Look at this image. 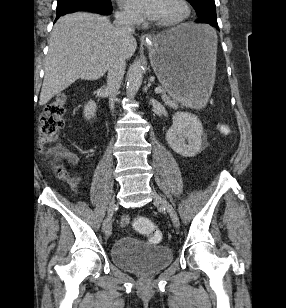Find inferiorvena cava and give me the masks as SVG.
Wrapping results in <instances>:
<instances>
[{"label":"inferior vena cava","mask_w":286,"mask_h":308,"mask_svg":"<svg viewBox=\"0 0 286 308\" xmlns=\"http://www.w3.org/2000/svg\"><path fill=\"white\" fill-rule=\"evenodd\" d=\"M114 24L116 29L124 35H132L135 31L133 21L127 16H117ZM125 67V59L121 56H117L112 59L108 68L107 90L109 93V106L111 110H114L115 98L123 80Z\"/></svg>","instance_id":"obj_1"}]
</instances>
